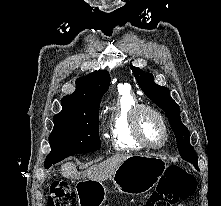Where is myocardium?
Listing matches in <instances>:
<instances>
[{
	"label": "myocardium",
	"instance_id": "f54148a6",
	"mask_svg": "<svg viewBox=\"0 0 221 206\" xmlns=\"http://www.w3.org/2000/svg\"><path fill=\"white\" fill-rule=\"evenodd\" d=\"M144 112H149L153 114L161 123L162 129H163V139L162 141L157 144V145H152L148 143L144 136L142 135L141 128H140V119L141 115ZM131 128H132V133L135 138V140L144 148L151 149V150H158L164 147L166 144L168 137H169V130H168V125L166 122V119L164 115L156 108L153 106L147 105V104H137L131 114Z\"/></svg>",
	"mask_w": 221,
	"mask_h": 206
}]
</instances>
